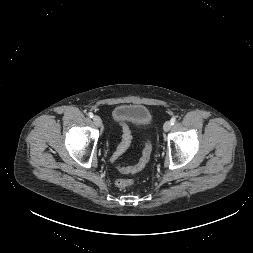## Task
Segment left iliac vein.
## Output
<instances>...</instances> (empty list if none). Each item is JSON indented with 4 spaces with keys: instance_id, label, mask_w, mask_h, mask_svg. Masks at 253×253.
<instances>
[{
    "instance_id": "left-iliac-vein-1",
    "label": "left iliac vein",
    "mask_w": 253,
    "mask_h": 253,
    "mask_svg": "<svg viewBox=\"0 0 253 253\" xmlns=\"http://www.w3.org/2000/svg\"><path fill=\"white\" fill-rule=\"evenodd\" d=\"M171 126H172V124L170 121L165 122V124L163 126L164 131L168 132L171 129Z\"/></svg>"
}]
</instances>
